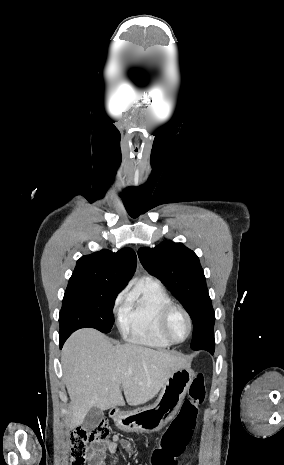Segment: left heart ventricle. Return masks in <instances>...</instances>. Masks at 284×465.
Here are the masks:
<instances>
[{"mask_svg": "<svg viewBox=\"0 0 284 465\" xmlns=\"http://www.w3.org/2000/svg\"><path fill=\"white\" fill-rule=\"evenodd\" d=\"M167 331L175 341L183 340L188 333V324L185 315L181 311H175L168 322Z\"/></svg>", "mask_w": 284, "mask_h": 465, "instance_id": "1", "label": "left heart ventricle"}]
</instances>
